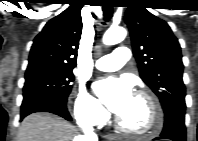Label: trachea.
I'll use <instances>...</instances> for the list:
<instances>
[{"instance_id":"trachea-1","label":"trachea","mask_w":198,"mask_h":141,"mask_svg":"<svg viewBox=\"0 0 198 141\" xmlns=\"http://www.w3.org/2000/svg\"><path fill=\"white\" fill-rule=\"evenodd\" d=\"M104 21L107 22L112 17V7L109 5H104L103 7ZM105 22L103 24H105Z\"/></svg>"}]
</instances>
